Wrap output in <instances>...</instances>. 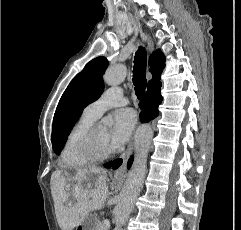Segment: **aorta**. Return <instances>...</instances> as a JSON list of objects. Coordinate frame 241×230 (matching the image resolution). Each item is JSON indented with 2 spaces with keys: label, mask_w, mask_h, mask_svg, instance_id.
<instances>
[{
  "label": "aorta",
  "mask_w": 241,
  "mask_h": 230,
  "mask_svg": "<svg viewBox=\"0 0 241 230\" xmlns=\"http://www.w3.org/2000/svg\"><path fill=\"white\" fill-rule=\"evenodd\" d=\"M126 77V67L123 64H116L109 67L104 76V82L109 86L119 85ZM105 125H111L112 120L102 119ZM153 131L149 125H142L135 135L134 161L128 173L126 182L119 194L118 202L113 210L115 228L123 230V225L128 219L137 196L139 195L146 175L147 157L151 147Z\"/></svg>",
  "instance_id": "762f6f07"
}]
</instances>
